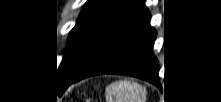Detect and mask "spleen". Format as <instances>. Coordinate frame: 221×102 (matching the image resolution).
<instances>
[{"label": "spleen", "instance_id": "obj_1", "mask_svg": "<svg viewBox=\"0 0 221 102\" xmlns=\"http://www.w3.org/2000/svg\"><path fill=\"white\" fill-rule=\"evenodd\" d=\"M105 96L107 102H144L146 90L136 82L120 80L107 86Z\"/></svg>", "mask_w": 221, "mask_h": 102}]
</instances>
